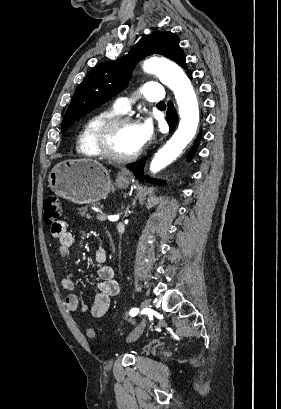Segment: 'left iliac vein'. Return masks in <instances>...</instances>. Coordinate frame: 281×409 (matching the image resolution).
Listing matches in <instances>:
<instances>
[{
  "mask_svg": "<svg viewBox=\"0 0 281 409\" xmlns=\"http://www.w3.org/2000/svg\"><path fill=\"white\" fill-rule=\"evenodd\" d=\"M141 307L143 308V311L146 314L151 310V305L148 300H144L141 304ZM144 328H145V320L143 319L140 325L128 337L129 341L131 342V341L136 340L143 333Z\"/></svg>",
  "mask_w": 281,
  "mask_h": 409,
  "instance_id": "4c4485c4",
  "label": "left iliac vein"
}]
</instances>
